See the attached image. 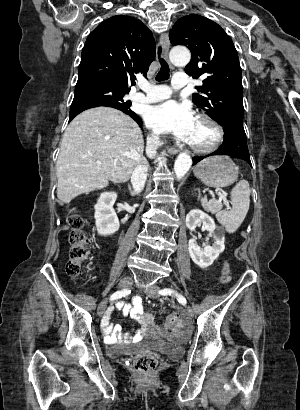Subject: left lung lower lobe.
I'll return each instance as SVG.
<instances>
[{"mask_svg":"<svg viewBox=\"0 0 300 410\" xmlns=\"http://www.w3.org/2000/svg\"><path fill=\"white\" fill-rule=\"evenodd\" d=\"M221 126L223 127L225 133L222 146L218 150L207 156L194 157L193 165L201 161L203 158L211 155H228L243 159L251 165L246 134L243 125L233 121H226L225 123L221 124Z\"/></svg>","mask_w":300,"mask_h":410,"instance_id":"0a47b994","label":"left lung lower lobe"}]
</instances>
